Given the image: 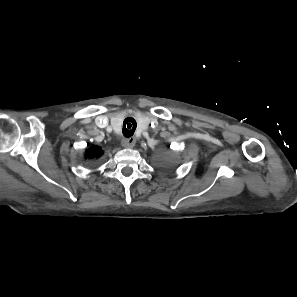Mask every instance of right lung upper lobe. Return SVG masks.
I'll use <instances>...</instances> for the list:
<instances>
[{"mask_svg":"<svg viewBox=\"0 0 297 297\" xmlns=\"http://www.w3.org/2000/svg\"><path fill=\"white\" fill-rule=\"evenodd\" d=\"M102 155L101 147L99 146H92L86 151V156L89 158L99 157Z\"/></svg>","mask_w":297,"mask_h":297,"instance_id":"cb5924a9","label":"right lung upper lobe"}]
</instances>
